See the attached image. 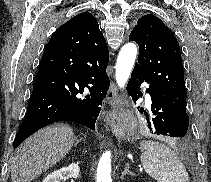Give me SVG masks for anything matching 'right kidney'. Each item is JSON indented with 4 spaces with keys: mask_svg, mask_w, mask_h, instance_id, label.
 <instances>
[{
    "mask_svg": "<svg viewBox=\"0 0 211 182\" xmlns=\"http://www.w3.org/2000/svg\"><path fill=\"white\" fill-rule=\"evenodd\" d=\"M80 167L78 164L72 163L68 167H63L58 171H54L44 178L43 182H61L63 179L79 177Z\"/></svg>",
    "mask_w": 211,
    "mask_h": 182,
    "instance_id": "1",
    "label": "right kidney"
}]
</instances>
